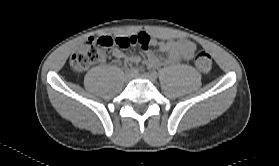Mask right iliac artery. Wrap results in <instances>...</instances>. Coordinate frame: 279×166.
Returning a JSON list of instances; mask_svg holds the SVG:
<instances>
[{
	"label": "right iliac artery",
	"mask_w": 279,
	"mask_h": 166,
	"mask_svg": "<svg viewBox=\"0 0 279 166\" xmlns=\"http://www.w3.org/2000/svg\"><path fill=\"white\" fill-rule=\"evenodd\" d=\"M129 71L133 74H138V72H139L138 68H135V67L131 68Z\"/></svg>",
	"instance_id": "1"
}]
</instances>
